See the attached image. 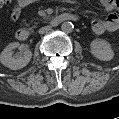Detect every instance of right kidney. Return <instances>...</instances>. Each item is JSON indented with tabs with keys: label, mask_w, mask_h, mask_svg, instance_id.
I'll list each match as a JSON object with an SVG mask.
<instances>
[{
	"label": "right kidney",
	"mask_w": 119,
	"mask_h": 119,
	"mask_svg": "<svg viewBox=\"0 0 119 119\" xmlns=\"http://www.w3.org/2000/svg\"><path fill=\"white\" fill-rule=\"evenodd\" d=\"M18 47H20L22 52L13 55V50ZM31 58L32 53L28 49V46L25 44L20 45L18 42L7 45L0 56L1 63L12 70L25 67L30 62Z\"/></svg>",
	"instance_id": "right-kidney-1"
}]
</instances>
